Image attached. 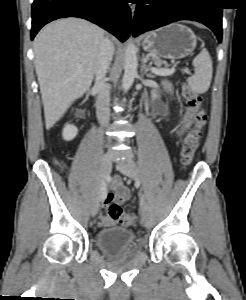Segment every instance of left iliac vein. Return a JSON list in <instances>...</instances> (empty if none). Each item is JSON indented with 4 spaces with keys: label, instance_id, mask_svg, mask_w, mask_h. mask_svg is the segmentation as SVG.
<instances>
[{
    "label": "left iliac vein",
    "instance_id": "1",
    "mask_svg": "<svg viewBox=\"0 0 246 300\" xmlns=\"http://www.w3.org/2000/svg\"><path fill=\"white\" fill-rule=\"evenodd\" d=\"M117 167L121 173L131 178L132 180L139 179V170L134 162L127 161L123 163H118ZM141 200H142L141 211H140L141 223L144 227L149 228L152 226V216L149 207L145 201L144 195H142Z\"/></svg>",
    "mask_w": 246,
    "mask_h": 300
}]
</instances>
